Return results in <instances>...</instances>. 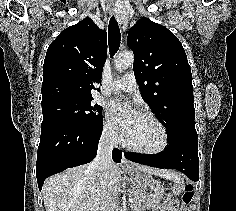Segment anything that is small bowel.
I'll return each mask as SVG.
<instances>
[{
	"label": "small bowel",
	"instance_id": "small-bowel-1",
	"mask_svg": "<svg viewBox=\"0 0 236 211\" xmlns=\"http://www.w3.org/2000/svg\"><path fill=\"white\" fill-rule=\"evenodd\" d=\"M154 211H176V209L169 207V202H165L162 206L158 207ZM179 211H188L187 208L183 207Z\"/></svg>",
	"mask_w": 236,
	"mask_h": 211
}]
</instances>
